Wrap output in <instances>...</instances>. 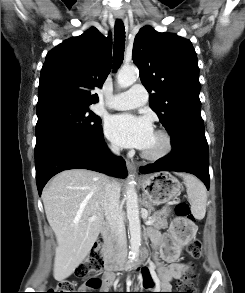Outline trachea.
<instances>
[{"instance_id": "trachea-1", "label": "trachea", "mask_w": 245, "mask_h": 293, "mask_svg": "<svg viewBox=\"0 0 245 293\" xmlns=\"http://www.w3.org/2000/svg\"><path fill=\"white\" fill-rule=\"evenodd\" d=\"M125 27L122 20L117 19L114 27L113 67L119 68L124 58Z\"/></svg>"}]
</instances>
